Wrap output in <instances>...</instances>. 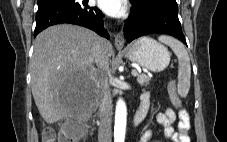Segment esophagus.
<instances>
[{"instance_id": "1", "label": "esophagus", "mask_w": 227, "mask_h": 142, "mask_svg": "<svg viewBox=\"0 0 227 142\" xmlns=\"http://www.w3.org/2000/svg\"><path fill=\"white\" fill-rule=\"evenodd\" d=\"M124 38L121 33H117L114 35V44L117 49H122L124 47Z\"/></svg>"}]
</instances>
